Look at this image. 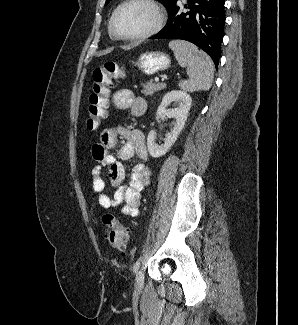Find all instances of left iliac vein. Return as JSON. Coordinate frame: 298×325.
I'll use <instances>...</instances> for the list:
<instances>
[{"mask_svg":"<svg viewBox=\"0 0 298 325\" xmlns=\"http://www.w3.org/2000/svg\"><path fill=\"white\" fill-rule=\"evenodd\" d=\"M135 288L137 290H141L144 286V274L143 271L140 270L137 272L136 277H135Z\"/></svg>","mask_w":298,"mask_h":325,"instance_id":"1","label":"left iliac vein"}]
</instances>
